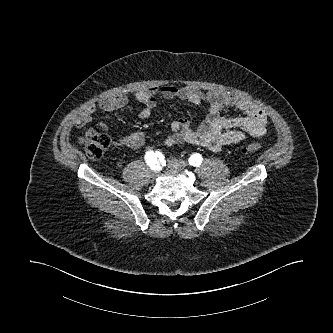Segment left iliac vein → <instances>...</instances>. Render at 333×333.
Masks as SVG:
<instances>
[{
    "label": "left iliac vein",
    "mask_w": 333,
    "mask_h": 333,
    "mask_svg": "<svg viewBox=\"0 0 333 333\" xmlns=\"http://www.w3.org/2000/svg\"><path fill=\"white\" fill-rule=\"evenodd\" d=\"M167 166L170 169H173L176 171H182V170H184L186 164L181 161L169 160Z\"/></svg>",
    "instance_id": "obj_1"
}]
</instances>
